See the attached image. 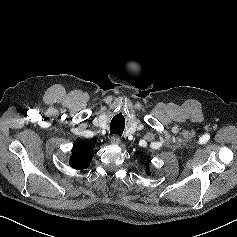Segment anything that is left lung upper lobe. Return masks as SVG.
I'll return each instance as SVG.
<instances>
[{
  "label": "left lung upper lobe",
  "instance_id": "1",
  "mask_svg": "<svg viewBox=\"0 0 237 237\" xmlns=\"http://www.w3.org/2000/svg\"><path fill=\"white\" fill-rule=\"evenodd\" d=\"M146 173H147V174H150V171H149V169H147V170H146Z\"/></svg>",
  "mask_w": 237,
  "mask_h": 237
}]
</instances>
